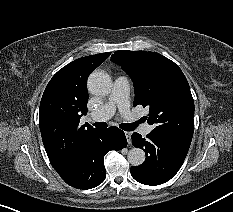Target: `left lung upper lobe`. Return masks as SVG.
I'll use <instances>...</instances> for the list:
<instances>
[{"mask_svg": "<svg viewBox=\"0 0 233 212\" xmlns=\"http://www.w3.org/2000/svg\"><path fill=\"white\" fill-rule=\"evenodd\" d=\"M111 60L133 80V105L149 108L144 119L155 126L151 133L191 141L194 101L179 66L159 53L146 51H116Z\"/></svg>", "mask_w": 233, "mask_h": 212, "instance_id": "obj_1", "label": "left lung upper lobe"}]
</instances>
